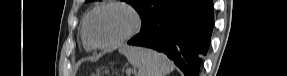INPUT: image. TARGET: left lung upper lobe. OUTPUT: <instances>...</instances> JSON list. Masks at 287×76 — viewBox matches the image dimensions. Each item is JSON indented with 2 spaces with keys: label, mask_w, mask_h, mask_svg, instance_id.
Here are the masks:
<instances>
[{
  "label": "left lung upper lobe",
  "mask_w": 287,
  "mask_h": 76,
  "mask_svg": "<svg viewBox=\"0 0 287 76\" xmlns=\"http://www.w3.org/2000/svg\"><path fill=\"white\" fill-rule=\"evenodd\" d=\"M93 0H86L91 2ZM140 14L142 26L156 13L166 8L173 0H124Z\"/></svg>",
  "instance_id": "left-lung-upper-lobe-1"
}]
</instances>
